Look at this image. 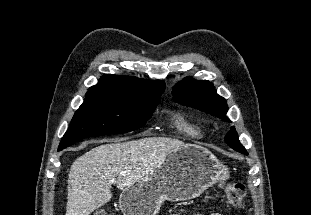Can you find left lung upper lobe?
<instances>
[{"label":"left lung upper lobe","mask_w":311,"mask_h":215,"mask_svg":"<svg viewBox=\"0 0 311 215\" xmlns=\"http://www.w3.org/2000/svg\"><path fill=\"white\" fill-rule=\"evenodd\" d=\"M172 93L173 99L177 103L211 113L225 121H230L226 116L228 110L226 100L216 93L213 84L209 81H197L187 77L173 87ZM224 139L234 150L248 154L246 149L240 144L234 127L230 129Z\"/></svg>","instance_id":"obj_1"}]
</instances>
